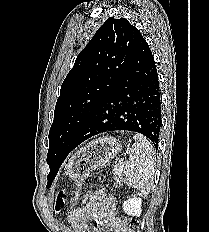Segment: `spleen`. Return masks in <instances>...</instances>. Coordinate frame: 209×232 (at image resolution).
<instances>
[{"instance_id": "spleen-1", "label": "spleen", "mask_w": 209, "mask_h": 232, "mask_svg": "<svg viewBox=\"0 0 209 232\" xmlns=\"http://www.w3.org/2000/svg\"><path fill=\"white\" fill-rule=\"evenodd\" d=\"M135 143L129 148L131 162L126 164L125 183L141 193H149L155 173V156L151 143L140 134L134 135Z\"/></svg>"}]
</instances>
